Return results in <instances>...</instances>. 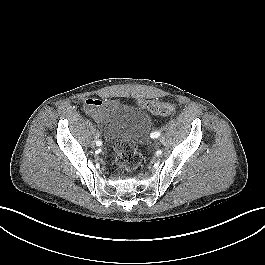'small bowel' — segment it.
<instances>
[{"label":"small bowel","mask_w":265,"mask_h":265,"mask_svg":"<svg viewBox=\"0 0 265 265\" xmlns=\"http://www.w3.org/2000/svg\"><path fill=\"white\" fill-rule=\"evenodd\" d=\"M113 106L112 101H103L98 98H88L84 101V110L96 121L101 122L106 111Z\"/></svg>","instance_id":"c3829d8e"}]
</instances>
